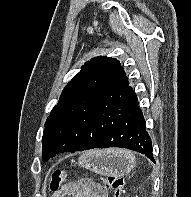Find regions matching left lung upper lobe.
<instances>
[{"mask_svg": "<svg viewBox=\"0 0 191 197\" xmlns=\"http://www.w3.org/2000/svg\"><path fill=\"white\" fill-rule=\"evenodd\" d=\"M126 81L124 69L114 58L99 56L86 62L63 89L58 104L46 120L42 137L43 161L59 152L73 151L66 140L64 129L91 98Z\"/></svg>", "mask_w": 191, "mask_h": 197, "instance_id": "left-lung-upper-lobe-1", "label": "left lung upper lobe"}]
</instances>
